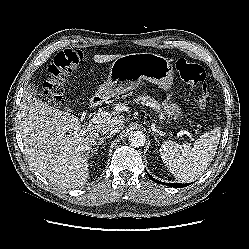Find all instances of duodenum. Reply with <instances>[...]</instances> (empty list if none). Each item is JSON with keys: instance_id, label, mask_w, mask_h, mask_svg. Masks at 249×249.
<instances>
[{"instance_id": "410a0bca", "label": "duodenum", "mask_w": 249, "mask_h": 249, "mask_svg": "<svg viewBox=\"0 0 249 249\" xmlns=\"http://www.w3.org/2000/svg\"><path fill=\"white\" fill-rule=\"evenodd\" d=\"M99 103H100V99L97 98V97H95V98H93L92 101H91V107H92V108H95V107H97V106L99 105Z\"/></svg>"}]
</instances>
